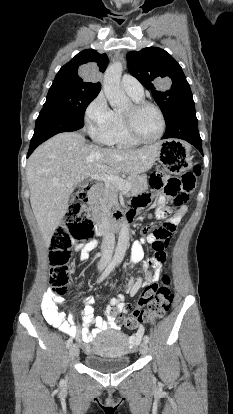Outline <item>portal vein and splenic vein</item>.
<instances>
[{
  "label": "portal vein and splenic vein",
  "mask_w": 233,
  "mask_h": 414,
  "mask_svg": "<svg viewBox=\"0 0 233 414\" xmlns=\"http://www.w3.org/2000/svg\"><path fill=\"white\" fill-rule=\"evenodd\" d=\"M92 179L104 181L106 184H113L120 189L125 191H129L131 189V184L125 181L124 179L109 174H100V175H92Z\"/></svg>",
  "instance_id": "obj_1"
}]
</instances>
